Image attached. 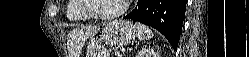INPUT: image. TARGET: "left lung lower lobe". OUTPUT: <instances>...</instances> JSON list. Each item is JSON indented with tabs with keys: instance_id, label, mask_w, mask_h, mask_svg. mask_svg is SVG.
<instances>
[{
	"instance_id": "left-lung-lower-lobe-1",
	"label": "left lung lower lobe",
	"mask_w": 249,
	"mask_h": 57,
	"mask_svg": "<svg viewBox=\"0 0 249 57\" xmlns=\"http://www.w3.org/2000/svg\"><path fill=\"white\" fill-rule=\"evenodd\" d=\"M187 0H138L135 10L125 16L160 31L174 50L182 32Z\"/></svg>"
}]
</instances>
